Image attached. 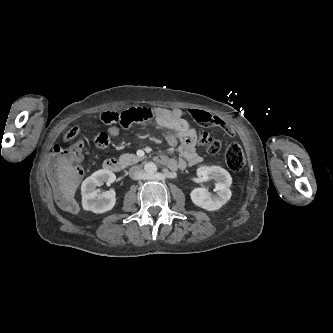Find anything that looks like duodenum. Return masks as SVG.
Here are the masks:
<instances>
[{"instance_id":"410a0bca","label":"duodenum","mask_w":333,"mask_h":333,"mask_svg":"<svg viewBox=\"0 0 333 333\" xmlns=\"http://www.w3.org/2000/svg\"><path fill=\"white\" fill-rule=\"evenodd\" d=\"M105 169L111 172H119L121 170V164L116 158H109L104 162Z\"/></svg>"}]
</instances>
